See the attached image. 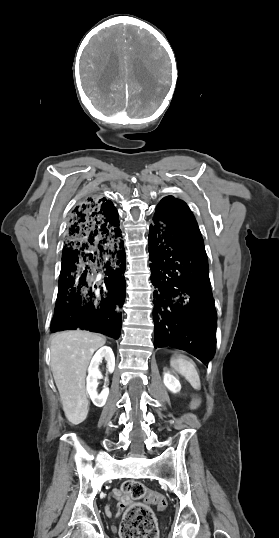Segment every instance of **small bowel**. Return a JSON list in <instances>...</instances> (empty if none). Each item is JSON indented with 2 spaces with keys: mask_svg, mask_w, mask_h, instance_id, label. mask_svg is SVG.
<instances>
[{
  "mask_svg": "<svg viewBox=\"0 0 279 538\" xmlns=\"http://www.w3.org/2000/svg\"><path fill=\"white\" fill-rule=\"evenodd\" d=\"M112 498L116 499L118 501V504H117V513L114 514L111 509H110V506H106V509H105V512L107 514L108 517H119L122 513V510L123 508L125 507V504L127 502V498L126 496L119 490V489H115L113 492H112Z\"/></svg>",
  "mask_w": 279,
  "mask_h": 538,
  "instance_id": "small-bowel-1",
  "label": "small bowel"
}]
</instances>
